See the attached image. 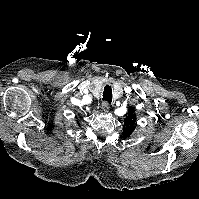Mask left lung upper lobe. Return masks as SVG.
I'll use <instances>...</instances> for the list:
<instances>
[{
  "instance_id": "left-lung-upper-lobe-1",
  "label": "left lung upper lobe",
  "mask_w": 199,
  "mask_h": 199,
  "mask_svg": "<svg viewBox=\"0 0 199 199\" xmlns=\"http://www.w3.org/2000/svg\"><path fill=\"white\" fill-rule=\"evenodd\" d=\"M126 118H125V124L123 127V137L127 138L129 137L133 131L135 130L136 127V117H135V113H134V109L133 108H129L128 113L126 114Z\"/></svg>"
}]
</instances>
